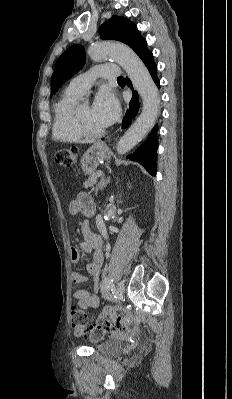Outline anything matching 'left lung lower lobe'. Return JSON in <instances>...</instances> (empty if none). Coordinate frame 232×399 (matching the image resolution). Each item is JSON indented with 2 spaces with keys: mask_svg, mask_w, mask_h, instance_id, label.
Masks as SVG:
<instances>
[{
  "mask_svg": "<svg viewBox=\"0 0 232 399\" xmlns=\"http://www.w3.org/2000/svg\"><path fill=\"white\" fill-rule=\"evenodd\" d=\"M136 54L141 58L145 66L148 68L152 79L156 83L158 87H160L159 79L157 77V65L153 60V54L148 50L147 46L144 45L141 47ZM127 85L133 89L130 80L127 78ZM139 96L136 91H133V97L130 101V108L126 111L125 117L122 122V128H127L132 119L135 118L139 111ZM158 130V126L156 125L146 141L140 145V147L128 158L132 161L139 162L145 169L153 176L156 175V150L158 146L156 132Z\"/></svg>",
  "mask_w": 232,
  "mask_h": 399,
  "instance_id": "obj_1",
  "label": "left lung lower lobe"
}]
</instances>
